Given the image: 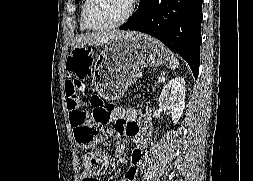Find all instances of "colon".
Here are the masks:
<instances>
[{"label":"colon","mask_w":253,"mask_h":181,"mask_svg":"<svg viewBox=\"0 0 253 181\" xmlns=\"http://www.w3.org/2000/svg\"><path fill=\"white\" fill-rule=\"evenodd\" d=\"M80 53H92V48H74L67 61L69 70L66 84L67 105L70 124L76 143L82 148H92L84 158V164L92 172H102L109 162V154L98 147L104 139L103 125L112 117V106L99 105V99H85L87 91L76 88L75 80L79 75Z\"/></svg>","instance_id":"5ec220e1"}]
</instances>
